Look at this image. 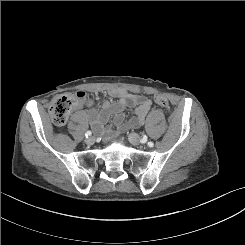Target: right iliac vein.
Instances as JSON below:
<instances>
[{
	"label": "right iliac vein",
	"instance_id": "obj_1",
	"mask_svg": "<svg viewBox=\"0 0 245 245\" xmlns=\"http://www.w3.org/2000/svg\"><path fill=\"white\" fill-rule=\"evenodd\" d=\"M85 142L87 145H92V144H94L95 139H94V137L91 136V137L86 138Z\"/></svg>",
	"mask_w": 245,
	"mask_h": 245
}]
</instances>
